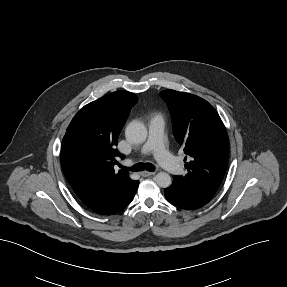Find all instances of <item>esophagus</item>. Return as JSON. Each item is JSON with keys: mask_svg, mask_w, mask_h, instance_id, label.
<instances>
[{"mask_svg": "<svg viewBox=\"0 0 287 287\" xmlns=\"http://www.w3.org/2000/svg\"><path fill=\"white\" fill-rule=\"evenodd\" d=\"M155 173H156V172L143 171V172L141 173V175H142L143 177H147V176L154 175Z\"/></svg>", "mask_w": 287, "mask_h": 287, "instance_id": "1", "label": "esophagus"}]
</instances>
